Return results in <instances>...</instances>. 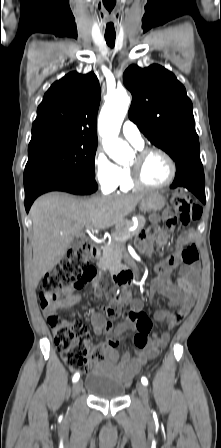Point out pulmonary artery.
<instances>
[{
	"label": "pulmonary artery",
	"mask_w": 221,
	"mask_h": 448,
	"mask_svg": "<svg viewBox=\"0 0 221 448\" xmlns=\"http://www.w3.org/2000/svg\"><path fill=\"white\" fill-rule=\"evenodd\" d=\"M122 134L134 147L141 149L144 146L142 134L134 122L126 120L122 126Z\"/></svg>",
	"instance_id": "obj_1"
}]
</instances>
